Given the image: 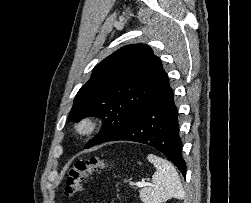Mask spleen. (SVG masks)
<instances>
[{
	"mask_svg": "<svg viewBox=\"0 0 251 203\" xmlns=\"http://www.w3.org/2000/svg\"><path fill=\"white\" fill-rule=\"evenodd\" d=\"M148 161L156 168L152 176L153 187L140 191V199L144 203H162L171 198L183 199L185 194L180 177L175 167L167 160L153 154Z\"/></svg>",
	"mask_w": 251,
	"mask_h": 203,
	"instance_id": "1",
	"label": "spleen"
}]
</instances>
